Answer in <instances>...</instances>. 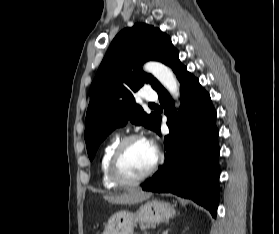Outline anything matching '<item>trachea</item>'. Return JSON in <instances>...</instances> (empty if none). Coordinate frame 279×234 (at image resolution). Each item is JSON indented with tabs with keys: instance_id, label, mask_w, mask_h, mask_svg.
I'll return each mask as SVG.
<instances>
[{
	"instance_id": "trachea-1",
	"label": "trachea",
	"mask_w": 279,
	"mask_h": 234,
	"mask_svg": "<svg viewBox=\"0 0 279 234\" xmlns=\"http://www.w3.org/2000/svg\"><path fill=\"white\" fill-rule=\"evenodd\" d=\"M154 104H149V106H153Z\"/></svg>"
}]
</instances>
